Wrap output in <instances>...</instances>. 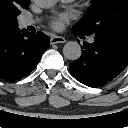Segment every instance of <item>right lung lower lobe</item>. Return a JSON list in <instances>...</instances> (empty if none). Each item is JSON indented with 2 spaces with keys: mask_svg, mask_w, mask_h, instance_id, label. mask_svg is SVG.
Returning a JSON list of instances; mask_svg holds the SVG:
<instances>
[{
  "mask_svg": "<svg viewBox=\"0 0 128 128\" xmlns=\"http://www.w3.org/2000/svg\"><path fill=\"white\" fill-rule=\"evenodd\" d=\"M49 47V38L41 32L30 33L19 28L0 35V78L18 80L28 75Z\"/></svg>",
  "mask_w": 128,
  "mask_h": 128,
  "instance_id": "obj_1",
  "label": "right lung lower lobe"
}]
</instances>
